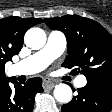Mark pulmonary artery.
Wrapping results in <instances>:
<instances>
[{
    "mask_svg": "<svg viewBox=\"0 0 112 112\" xmlns=\"http://www.w3.org/2000/svg\"><path fill=\"white\" fill-rule=\"evenodd\" d=\"M65 36L58 31H52L48 34L45 46L38 52L14 64L11 67L13 75H32L42 71L54 59L59 57L65 50ZM87 80L84 76H79L75 80V86L84 87Z\"/></svg>",
    "mask_w": 112,
    "mask_h": 112,
    "instance_id": "e3ab8cb5",
    "label": "pulmonary artery"
}]
</instances>
